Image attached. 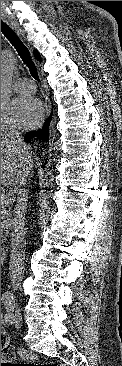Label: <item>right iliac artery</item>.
I'll return each instance as SVG.
<instances>
[{"instance_id":"obj_1","label":"right iliac artery","mask_w":122,"mask_h":366,"mask_svg":"<svg viewBox=\"0 0 122 366\" xmlns=\"http://www.w3.org/2000/svg\"><path fill=\"white\" fill-rule=\"evenodd\" d=\"M1 300H3V301H4V303H5V302H7V301H10V300H11V298H10L9 296H4V297H2V298H1Z\"/></svg>"}]
</instances>
